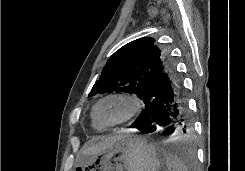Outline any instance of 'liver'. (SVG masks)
<instances>
[{
	"mask_svg": "<svg viewBox=\"0 0 245 171\" xmlns=\"http://www.w3.org/2000/svg\"><path fill=\"white\" fill-rule=\"evenodd\" d=\"M120 137L121 135L105 137L101 139L100 141H98L97 143H93L90 146L83 148L80 154L82 156L96 155L97 153L113 146Z\"/></svg>",
	"mask_w": 245,
	"mask_h": 171,
	"instance_id": "1",
	"label": "liver"
}]
</instances>
